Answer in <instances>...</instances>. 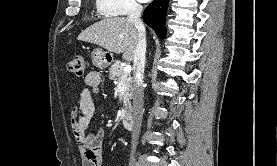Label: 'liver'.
<instances>
[{"label": "liver", "instance_id": "obj_1", "mask_svg": "<svg viewBox=\"0 0 277 166\" xmlns=\"http://www.w3.org/2000/svg\"><path fill=\"white\" fill-rule=\"evenodd\" d=\"M78 40L96 44L111 53H123V59L132 61L138 30L124 17L106 18L83 30Z\"/></svg>", "mask_w": 277, "mask_h": 166}]
</instances>
